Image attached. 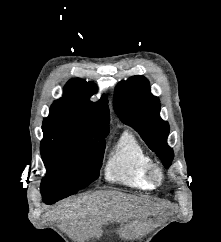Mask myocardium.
I'll list each match as a JSON object with an SVG mask.
<instances>
[{
  "mask_svg": "<svg viewBox=\"0 0 221 242\" xmlns=\"http://www.w3.org/2000/svg\"><path fill=\"white\" fill-rule=\"evenodd\" d=\"M146 178L151 186H160L164 180V170L162 166L154 161H151L145 169Z\"/></svg>",
  "mask_w": 221,
  "mask_h": 242,
  "instance_id": "f54148a6",
  "label": "myocardium"
}]
</instances>
